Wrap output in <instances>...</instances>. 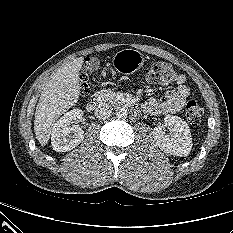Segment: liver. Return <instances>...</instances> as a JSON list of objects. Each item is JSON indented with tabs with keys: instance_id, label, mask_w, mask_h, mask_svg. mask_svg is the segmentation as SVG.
Returning a JSON list of instances; mask_svg holds the SVG:
<instances>
[{
	"instance_id": "6515ba94",
	"label": "liver",
	"mask_w": 233,
	"mask_h": 233,
	"mask_svg": "<svg viewBox=\"0 0 233 233\" xmlns=\"http://www.w3.org/2000/svg\"><path fill=\"white\" fill-rule=\"evenodd\" d=\"M83 61L79 57L57 69L41 92L34 120L35 136L41 146L48 143L56 120L79 99Z\"/></svg>"
}]
</instances>
